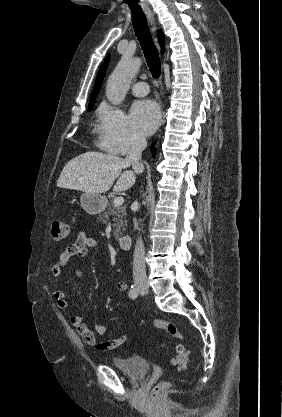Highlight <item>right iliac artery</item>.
Wrapping results in <instances>:
<instances>
[{"instance_id": "obj_1", "label": "right iliac artery", "mask_w": 282, "mask_h": 417, "mask_svg": "<svg viewBox=\"0 0 282 417\" xmlns=\"http://www.w3.org/2000/svg\"><path fill=\"white\" fill-rule=\"evenodd\" d=\"M138 295H139V290L132 285L129 291V297L134 300L137 298Z\"/></svg>"}]
</instances>
